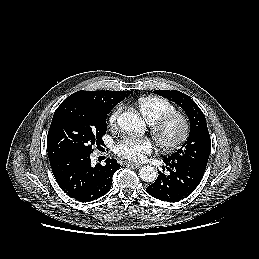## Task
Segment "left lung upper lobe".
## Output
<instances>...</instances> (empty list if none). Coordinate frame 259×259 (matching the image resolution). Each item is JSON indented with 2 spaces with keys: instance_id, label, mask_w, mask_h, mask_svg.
Segmentation results:
<instances>
[{
  "instance_id": "obj_1",
  "label": "left lung upper lobe",
  "mask_w": 259,
  "mask_h": 259,
  "mask_svg": "<svg viewBox=\"0 0 259 259\" xmlns=\"http://www.w3.org/2000/svg\"><path fill=\"white\" fill-rule=\"evenodd\" d=\"M161 95L181 106L190 120V134L187 141L168 160L189 163L204 172L210 154V135L206 118L197 104L186 94L180 91L156 90Z\"/></svg>"
}]
</instances>
